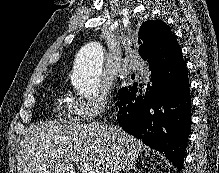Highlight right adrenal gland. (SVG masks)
Segmentation results:
<instances>
[{
  "mask_svg": "<svg viewBox=\"0 0 219 173\" xmlns=\"http://www.w3.org/2000/svg\"><path fill=\"white\" fill-rule=\"evenodd\" d=\"M129 170L137 171L135 162H132L131 164H129L128 167L124 170V172L127 173Z\"/></svg>",
  "mask_w": 219,
  "mask_h": 173,
  "instance_id": "2a0ac1e0",
  "label": "right adrenal gland"
}]
</instances>
